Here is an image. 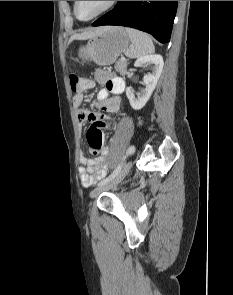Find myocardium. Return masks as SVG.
<instances>
[{"label":"myocardium","instance_id":"myocardium-1","mask_svg":"<svg viewBox=\"0 0 233 295\" xmlns=\"http://www.w3.org/2000/svg\"><path fill=\"white\" fill-rule=\"evenodd\" d=\"M78 2L79 1H74V14L76 16V18L80 21H84V22H88V21H91V20H94L96 19L97 17L107 13L108 11H110L111 9H113L116 4L118 3V1H108V3L106 4V6L101 9L99 12H97L95 15H93L92 17L90 18H87V19H82L78 16V13H77V6H78Z\"/></svg>","mask_w":233,"mask_h":295}]
</instances>
